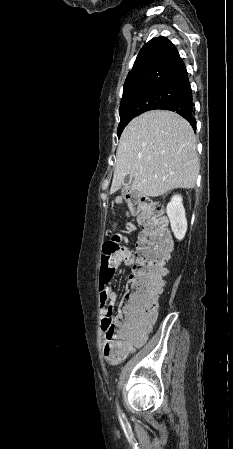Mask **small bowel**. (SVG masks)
Instances as JSON below:
<instances>
[{
  "label": "small bowel",
  "instance_id": "1",
  "mask_svg": "<svg viewBox=\"0 0 233 449\" xmlns=\"http://www.w3.org/2000/svg\"><path fill=\"white\" fill-rule=\"evenodd\" d=\"M126 266H133L135 264V257L132 252L129 251V256L122 257L117 266L115 267V270L110 273V276L104 278V285L100 288V306L104 310L105 314L108 310L115 304L116 302V293L111 289L110 282L113 278V275L116 272V269L121 265ZM156 317H153L149 319L147 322L142 324V326L139 328V330L135 334V339L132 344H130L127 347L126 353H130L136 348H139L143 345V343L146 341L148 334L151 331L152 325L155 321ZM104 329V324H103ZM105 330V329H104ZM117 344V343H115ZM125 353V354H126Z\"/></svg>",
  "mask_w": 233,
  "mask_h": 449
}]
</instances>
